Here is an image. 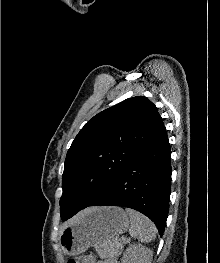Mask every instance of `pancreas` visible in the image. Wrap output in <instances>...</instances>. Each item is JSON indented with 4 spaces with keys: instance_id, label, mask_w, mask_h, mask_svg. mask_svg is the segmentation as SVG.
<instances>
[{
    "instance_id": "cf45deb5",
    "label": "pancreas",
    "mask_w": 220,
    "mask_h": 263,
    "mask_svg": "<svg viewBox=\"0 0 220 263\" xmlns=\"http://www.w3.org/2000/svg\"><path fill=\"white\" fill-rule=\"evenodd\" d=\"M121 246L116 242H108L98 248V253L102 258L112 259L119 254Z\"/></svg>"
}]
</instances>
